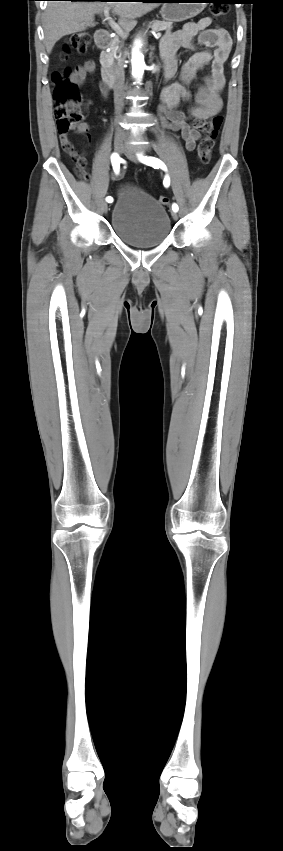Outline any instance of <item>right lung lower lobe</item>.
<instances>
[{
    "label": "right lung lower lobe",
    "mask_w": 283,
    "mask_h": 851,
    "mask_svg": "<svg viewBox=\"0 0 283 851\" xmlns=\"http://www.w3.org/2000/svg\"><path fill=\"white\" fill-rule=\"evenodd\" d=\"M71 1H96V0H71ZM99 1H103V0H99ZM129 1H132V0H129ZM135 1L151 2L150 0H135Z\"/></svg>",
    "instance_id": "obj_1"
}]
</instances>
